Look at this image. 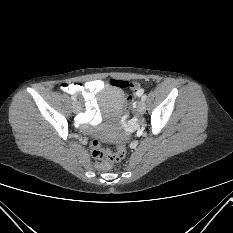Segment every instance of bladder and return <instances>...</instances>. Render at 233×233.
I'll return each instance as SVG.
<instances>
[{
	"instance_id": "bladder-1",
	"label": "bladder",
	"mask_w": 233,
	"mask_h": 233,
	"mask_svg": "<svg viewBox=\"0 0 233 233\" xmlns=\"http://www.w3.org/2000/svg\"><path fill=\"white\" fill-rule=\"evenodd\" d=\"M124 101V90L116 85L105 88L99 96V103L101 104L105 112L113 118H118L120 116ZM102 137L109 141L115 139V135L111 132L102 134Z\"/></svg>"
}]
</instances>
